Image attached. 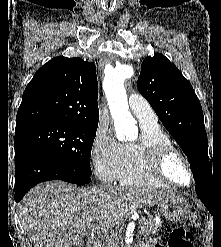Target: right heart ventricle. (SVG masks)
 <instances>
[{"label": "right heart ventricle", "instance_id": "1", "mask_svg": "<svg viewBox=\"0 0 221 247\" xmlns=\"http://www.w3.org/2000/svg\"><path fill=\"white\" fill-rule=\"evenodd\" d=\"M142 136L147 145L156 142L171 143L170 138L156 125H141ZM116 179L124 186H152L168 188L169 185L156 179L149 171L141 148L123 144Z\"/></svg>", "mask_w": 221, "mask_h": 247}]
</instances>
